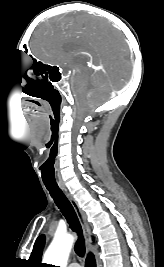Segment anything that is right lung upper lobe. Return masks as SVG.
Segmentation results:
<instances>
[{"instance_id":"cb5924a9","label":"right lung upper lobe","mask_w":164,"mask_h":267,"mask_svg":"<svg viewBox=\"0 0 164 267\" xmlns=\"http://www.w3.org/2000/svg\"><path fill=\"white\" fill-rule=\"evenodd\" d=\"M44 244H45V236L41 235L37 238L34 244V247H33V251L29 258L30 267H42L41 256H42Z\"/></svg>"}]
</instances>
